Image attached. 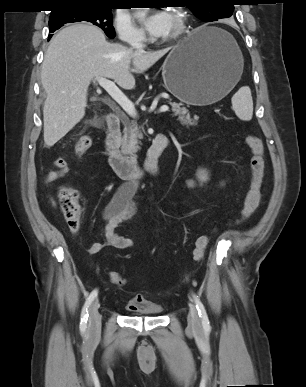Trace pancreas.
<instances>
[{
	"label": "pancreas",
	"instance_id": "1",
	"mask_svg": "<svg viewBox=\"0 0 306 387\" xmlns=\"http://www.w3.org/2000/svg\"><path fill=\"white\" fill-rule=\"evenodd\" d=\"M169 104L172 106L174 116H178V120L182 125L187 127L197 125L198 117L194 116L192 119L188 110L185 107H181L180 103L169 101ZM122 122L124 130L123 136L120 139L121 151L126 155L134 154L139 150L138 139H142L143 135L136 123L130 122L127 119H124Z\"/></svg>",
	"mask_w": 306,
	"mask_h": 387
}]
</instances>
